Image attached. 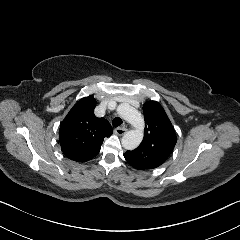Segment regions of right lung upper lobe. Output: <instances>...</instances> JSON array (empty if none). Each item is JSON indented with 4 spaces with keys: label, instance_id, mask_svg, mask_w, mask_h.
I'll return each instance as SVG.
<instances>
[{
    "label": "right lung upper lobe",
    "instance_id": "1",
    "mask_svg": "<svg viewBox=\"0 0 240 240\" xmlns=\"http://www.w3.org/2000/svg\"><path fill=\"white\" fill-rule=\"evenodd\" d=\"M96 100L84 97L79 100L62 121L59 139L62 152L77 162H86L100 151L103 139L110 137L112 127L104 118L94 115Z\"/></svg>",
    "mask_w": 240,
    "mask_h": 240
}]
</instances>
